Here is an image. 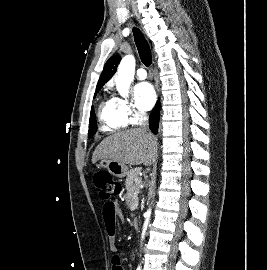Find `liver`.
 <instances>
[{"mask_svg":"<svg viewBox=\"0 0 267 270\" xmlns=\"http://www.w3.org/2000/svg\"><path fill=\"white\" fill-rule=\"evenodd\" d=\"M157 156V139L146 130L134 128L106 137L95 149L92 163L111 159L123 164L150 166Z\"/></svg>","mask_w":267,"mask_h":270,"instance_id":"obj_1","label":"liver"}]
</instances>
